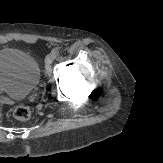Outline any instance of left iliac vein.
I'll return each instance as SVG.
<instances>
[{
    "instance_id": "4c4485c4",
    "label": "left iliac vein",
    "mask_w": 163,
    "mask_h": 163,
    "mask_svg": "<svg viewBox=\"0 0 163 163\" xmlns=\"http://www.w3.org/2000/svg\"><path fill=\"white\" fill-rule=\"evenodd\" d=\"M55 58H56V54L54 52H51L46 56L45 62L47 68H49L50 64L54 61Z\"/></svg>"
}]
</instances>
